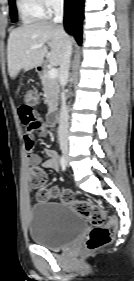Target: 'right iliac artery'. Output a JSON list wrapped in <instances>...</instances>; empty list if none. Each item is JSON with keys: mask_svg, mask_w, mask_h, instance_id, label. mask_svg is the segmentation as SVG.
<instances>
[{"mask_svg": "<svg viewBox=\"0 0 134 281\" xmlns=\"http://www.w3.org/2000/svg\"><path fill=\"white\" fill-rule=\"evenodd\" d=\"M60 165H61L62 170L65 171V169H66V160H65L63 155H61V157H60Z\"/></svg>", "mask_w": 134, "mask_h": 281, "instance_id": "obj_1", "label": "right iliac artery"}]
</instances>
